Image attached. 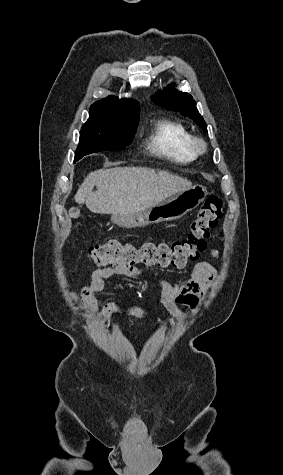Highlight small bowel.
<instances>
[{
	"label": "small bowel",
	"instance_id": "small-bowel-1",
	"mask_svg": "<svg viewBox=\"0 0 283 475\" xmlns=\"http://www.w3.org/2000/svg\"><path fill=\"white\" fill-rule=\"evenodd\" d=\"M211 254L213 257H219V252L215 249L211 250ZM115 276H127L154 285L162 295L161 304L168 310H174L176 304H182L188 306L193 312H197L217 276V269L209 262H198L192 270L191 279L180 285L147 274L136 266L113 264L98 268L92 273L90 284L82 289V299L89 314L94 315L99 309L96 293L103 290L106 280ZM114 315L147 318L156 324L160 323L158 316L152 310L116 302H107L102 305L99 320L104 326L110 327Z\"/></svg>",
	"mask_w": 283,
	"mask_h": 475
}]
</instances>
